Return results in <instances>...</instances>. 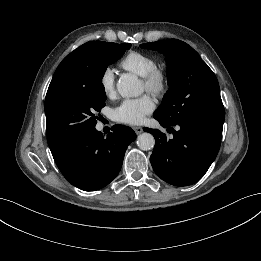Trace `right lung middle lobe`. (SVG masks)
Instances as JSON below:
<instances>
[{"label":"right lung middle lobe","mask_w":261,"mask_h":261,"mask_svg":"<svg viewBox=\"0 0 261 261\" xmlns=\"http://www.w3.org/2000/svg\"><path fill=\"white\" fill-rule=\"evenodd\" d=\"M130 47L129 43L106 42L89 49L82 64L85 80L45 101L47 141L52 153L96 126L98 117L95 114L105 106L102 78L106 68Z\"/></svg>","instance_id":"1"}]
</instances>
